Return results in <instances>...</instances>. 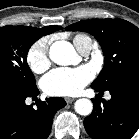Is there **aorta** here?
I'll return each instance as SVG.
<instances>
[{"label": "aorta", "mask_w": 139, "mask_h": 139, "mask_svg": "<svg viewBox=\"0 0 139 139\" xmlns=\"http://www.w3.org/2000/svg\"><path fill=\"white\" fill-rule=\"evenodd\" d=\"M49 56L58 65H69L75 61L77 54L69 42L56 41L50 47ZM74 108L78 114L87 116L91 114L93 104L89 99L82 98L75 102Z\"/></svg>", "instance_id": "762f6f07"}]
</instances>
